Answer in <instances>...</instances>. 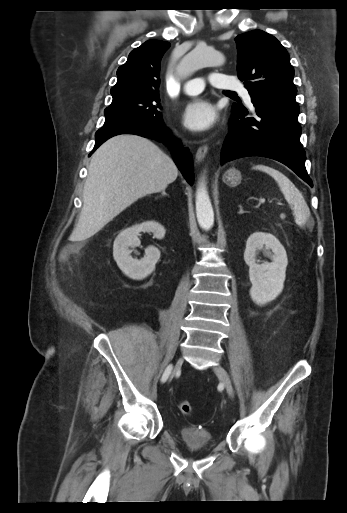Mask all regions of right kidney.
I'll return each instance as SVG.
<instances>
[{
  "label": "right kidney",
  "instance_id": "ca27d5eb",
  "mask_svg": "<svg viewBox=\"0 0 347 513\" xmlns=\"http://www.w3.org/2000/svg\"><path fill=\"white\" fill-rule=\"evenodd\" d=\"M140 232H152L154 237L162 239L165 236L164 227L155 221H146L123 230L115 239L113 245V257L121 271L132 279H144L155 269V264L160 258V251L149 246L145 250V256L134 259L130 254V247L140 245L138 235Z\"/></svg>",
  "mask_w": 347,
  "mask_h": 513
}]
</instances>
